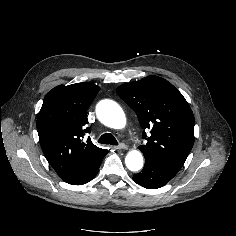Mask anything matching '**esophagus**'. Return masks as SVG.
I'll use <instances>...</instances> for the list:
<instances>
[{
    "mask_svg": "<svg viewBox=\"0 0 236 236\" xmlns=\"http://www.w3.org/2000/svg\"><path fill=\"white\" fill-rule=\"evenodd\" d=\"M117 150H122V149H128V146L125 145L124 143L119 144L118 146L115 147Z\"/></svg>",
    "mask_w": 236,
    "mask_h": 236,
    "instance_id": "1",
    "label": "esophagus"
}]
</instances>
